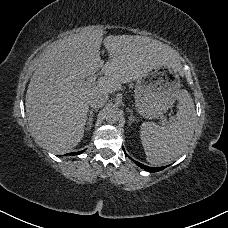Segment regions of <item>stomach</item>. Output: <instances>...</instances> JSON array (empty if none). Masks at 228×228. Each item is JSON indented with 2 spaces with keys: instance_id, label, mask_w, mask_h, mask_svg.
Here are the masks:
<instances>
[{
  "instance_id": "obj_1",
  "label": "stomach",
  "mask_w": 228,
  "mask_h": 228,
  "mask_svg": "<svg viewBox=\"0 0 228 228\" xmlns=\"http://www.w3.org/2000/svg\"><path fill=\"white\" fill-rule=\"evenodd\" d=\"M180 88L178 71L164 65L153 68L136 81V108L145 118H158L173 106Z\"/></svg>"
}]
</instances>
